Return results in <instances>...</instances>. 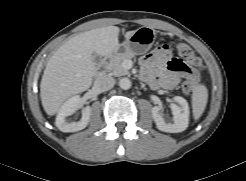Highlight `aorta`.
<instances>
[{
    "instance_id": "obj_1",
    "label": "aorta",
    "mask_w": 246,
    "mask_h": 181,
    "mask_svg": "<svg viewBox=\"0 0 246 181\" xmlns=\"http://www.w3.org/2000/svg\"><path fill=\"white\" fill-rule=\"evenodd\" d=\"M131 86H132V83H131V81H130L129 78L124 77V78H121V79L119 80V87H120L121 89H123V90H128V89L131 88Z\"/></svg>"
}]
</instances>
